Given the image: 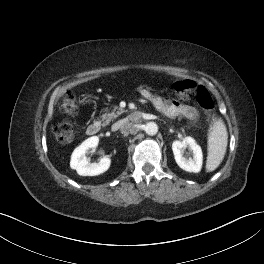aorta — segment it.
I'll return each instance as SVG.
<instances>
[{
    "instance_id": "762f6f07",
    "label": "aorta",
    "mask_w": 264,
    "mask_h": 264,
    "mask_svg": "<svg viewBox=\"0 0 264 264\" xmlns=\"http://www.w3.org/2000/svg\"><path fill=\"white\" fill-rule=\"evenodd\" d=\"M144 130L148 135H155L158 132V125L154 122H149L145 125Z\"/></svg>"
}]
</instances>
